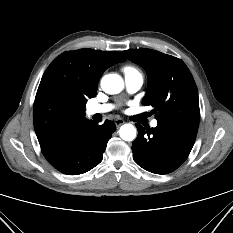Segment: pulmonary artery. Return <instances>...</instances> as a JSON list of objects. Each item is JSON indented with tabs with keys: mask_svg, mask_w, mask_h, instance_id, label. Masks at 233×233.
Segmentation results:
<instances>
[{
	"mask_svg": "<svg viewBox=\"0 0 233 233\" xmlns=\"http://www.w3.org/2000/svg\"><path fill=\"white\" fill-rule=\"evenodd\" d=\"M143 77L142 75H131L125 76V84L126 88L130 93L137 92L143 85ZM113 106L111 104H95L88 107V113L93 114H103L111 111ZM157 120L151 121V127H157Z\"/></svg>",
	"mask_w": 233,
	"mask_h": 233,
	"instance_id": "1",
	"label": "pulmonary artery"
}]
</instances>
